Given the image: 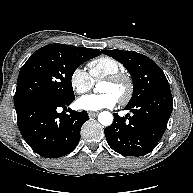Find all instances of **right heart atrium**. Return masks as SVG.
Here are the masks:
<instances>
[{
	"label": "right heart atrium",
	"instance_id": "obj_1",
	"mask_svg": "<svg viewBox=\"0 0 193 193\" xmlns=\"http://www.w3.org/2000/svg\"><path fill=\"white\" fill-rule=\"evenodd\" d=\"M69 83L72 90L78 94L89 91L93 86V80L90 74L82 67H76L72 70Z\"/></svg>",
	"mask_w": 193,
	"mask_h": 193
}]
</instances>
